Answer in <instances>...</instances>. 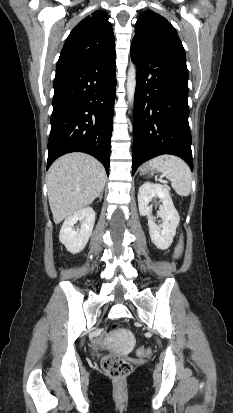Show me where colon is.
I'll return each mask as SVG.
<instances>
[{"mask_svg": "<svg viewBox=\"0 0 233 413\" xmlns=\"http://www.w3.org/2000/svg\"><path fill=\"white\" fill-rule=\"evenodd\" d=\"M182 242H180L176 249H175V253H174V257L177 258L181 252H182ZM118 327L116 325L113 326V330H116ZM150 353V350L145 348V347H141L138 350V354L139 356H147ZM102 368L105 371V373L115 379V380H121L123 378H125L131 371V364L125 360L122 357H118L115 355H107L102 359Z\"/></svg>", "mask_w": 233, "mask_h": 413, "instance_id": "colon-1", "label": "colon"}]
</instances>
